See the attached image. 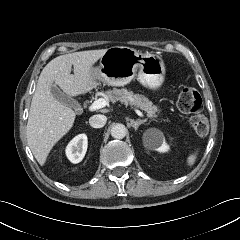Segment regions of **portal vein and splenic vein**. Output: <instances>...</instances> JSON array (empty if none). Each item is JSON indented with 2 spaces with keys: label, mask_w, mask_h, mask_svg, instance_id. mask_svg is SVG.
<instances>
[{
  "label": "portal vein and splenic vein",
  "mask_w": 240,
  "mask_h": 240,
  "mask_svg": "<svg viewBox=\"0 0 240 240\" xmlns=\"http://www.w3.org/2000/svg\"><path fill=\"white\" fill-rule=\"evenodd\" d=\"M108 104V100L104 98H99L98 100L94 101L90 106H89V111H96L98 109H101L105 107ZM135 112L138 116L143 117V113L139 111L138 109H135Z\"/></svg>",
  "instance_id": "1"
}]
</instances>
